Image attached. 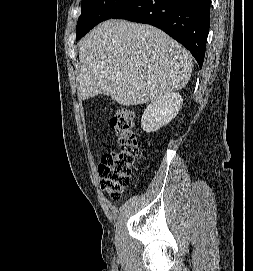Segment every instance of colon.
Listing matches in <instances>:
<instances>
[{"label":"colon","instance_id":"1","mask_svg":"<svg viewBox=\"0 0 253 271\" xmlns=\"http://www.w3.org/2000/svg\"><path fill=\"white\" fill-rule=\"evenodd\" d=\"M135 123V115L126 108H119L111 118L119 148L101 158L98 172L101 188L113 199L121 197L137 167L139 148Z\"/></svg>","mask_w":253,"mask_h":271}]
</instances>
